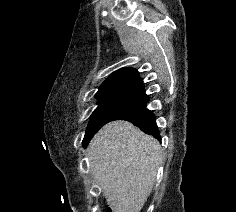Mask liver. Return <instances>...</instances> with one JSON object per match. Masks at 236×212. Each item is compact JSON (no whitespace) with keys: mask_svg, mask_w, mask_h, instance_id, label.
<instances>
[{"mask_svg":"<svg viewBox=\"0 0 236 212\" xmlns=\"http://www.w3.org/2000/svg\"><path fill=\"white\" fill-rule=\"evenodd\" d=\"M94 179L113 212H140L161 163L159 142L126 121L105 125L89 144Z\"/></svg>","mask_w":236,"mask_h":212,"instance_id":"liver-1","label":"liver"}]
</instances>
